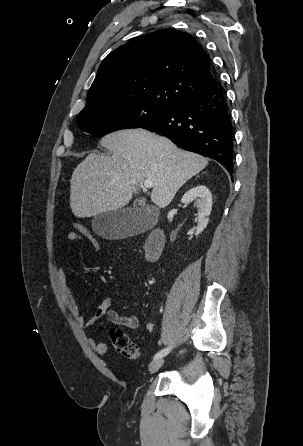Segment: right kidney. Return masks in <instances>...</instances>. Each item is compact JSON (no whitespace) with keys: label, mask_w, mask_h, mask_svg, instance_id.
Returning a JSON list of instances; mask_svg holds the SVG:
<instances>
[{"label":"right kidney","mask_w":303,"mask_h":446,"mask_svg":"<svg viewBox=\"0 0 303 446\" xmlns=\"http://www.w3.org/2000/svg\"><path fill=\"white\" fill-rule=\"evenodd\" d=\"M194 201L198 208V225L196 235H199L208 224V217L212 209V195L204 185H198L188 190L181 199L183 204Z\"/></svg>","instance_id":"ca27d5eb"}]
</instances>
